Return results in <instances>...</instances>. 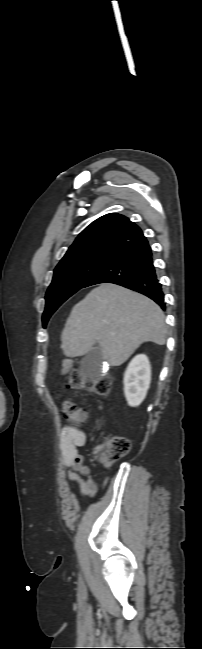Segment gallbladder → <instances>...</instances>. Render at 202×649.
Segmentation results:
<instances>
[{
    "label": "gallbladder",
    "mask_w": 202,
    "mask_h": 649,
    "mask_svg": "<svg viewBox=\"0 0 202 649\" xmlns=\"http://www.w3.org/2000/svg\"><path fill=\"white\" fill-rule=\"evenodd\" d=\"M80 369L82 373L90 378H98L103 371V356L100 346L94 345L93 348L87 352L80 361Z\"/></svg>",
    "instance_id": "bac80fb5"
}]
</instances>
